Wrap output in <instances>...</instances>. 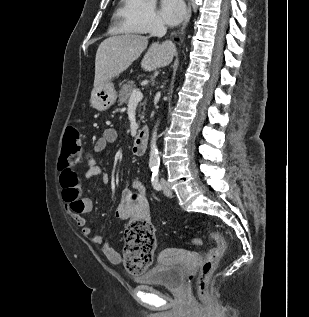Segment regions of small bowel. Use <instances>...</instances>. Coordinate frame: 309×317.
I'll return each instance as SVG.
<instances>
[{"label": "small bowel", "mask_w": 309, "mask_h": 317, "mask_svg": "<svg viewBox=\"0 0 309 317\" xmlns=\"http://www.w3.org/2000/svg\"><path fill=\"white\" fill-rule=\"evenodd\" d=\"M117 140V131L114 128H107L103 131L93 146L96 153H100L106 149L109 144ZM85 177L91 179L100 177L104 183L108 182V175L100 167L98 159L94 155H88L86 159ZM66 182L62 183V197L65 208L69 216L80 228L81 234L89 238L90 242L95 246H101V250L108 261L112 264H120L123 261L122 255L117 252L108 242H105L100 233H94L88 225L86 214L93 208V201L90 197L84 196L75 171L70 168L63 173ZM133 188L136 195L133 196L129 191H125L121 201L118 204L115 214L121 220H135L147 218L149 204L146 196V188L139 181L133 182Z\"/></svg>", "instance_id": "obj_1"}]
</instances>
